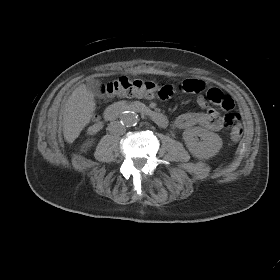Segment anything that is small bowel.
I'll return each instance as SVG.
<instances>
[{"label":"small bowel","instance_id":"1","mask_svg":"<svg viewBox=\"0 0 280 280\" xmlns=\"http://www.w3.org/2000/svg\"><path fill=\"white\" fill-rule=\"evenodd\" d=\"M179 89L184 93L196 96V102L204 109L202 112H188L179 115L172 122L174 129H188L193 126H202L211 131H220L224 128V120L216 110L208 107V101L202 92L206 83L199 79H184L178 84Z\"/></svg>","mask_w":280,"mask_h":280}]
</instances>
